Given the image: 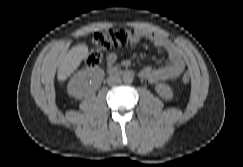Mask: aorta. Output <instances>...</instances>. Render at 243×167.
<instances>
[{"mask_svg": "<svg viewBox=\"0 0 243 167\" xmlns=\"http://www.w3.org/2000/svg\"><path fill=\"white\" fill-rule=\"evenodd\" d=\"M122 80H123L124 83H127V84L132 83L133 75L130 74V73H126V74L123 75Z\"/></svg>", "mask_w": 243, "mask_h": 167, "instance_id": "obj_1", "label": "aorta"}]
</instances>
